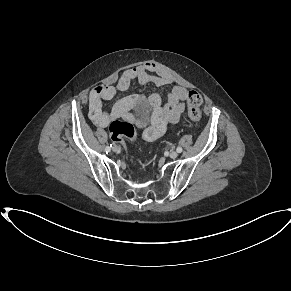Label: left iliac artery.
Masks as SVG:
<instances>
[{"label": "left iliac artery", "instance_id": "obj_1", "mask_svg": "<svg viewBox=\"0 0 291 291\" xmlns=\"http://www.w3.org/2000/svg\"><path fill=\"white\" fill-rule=\"evenodd\" d=\"M182 148L181 147H177V149H176V151L178 152V153H181L182 152Z\"/></svg>", "mask_w": 291, "mask_h": 291}]
</instances>
